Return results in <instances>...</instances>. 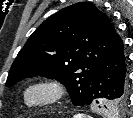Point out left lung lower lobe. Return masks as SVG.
I'll use <instances>...</instances> for the list:
<instances>
[{
    "label": "left lung lower lobe",
    "mask_w": 133,
    "mask_h": 118,
    "mask_svg": "<svg viewBox=\"0 0 133 118\" xmlns=\"http://www.w3.org/2000/svg\"><path fill=\"white\" fill-rule=\"evenodd\" d=\"M127 83V57L118 35L92 77L85 105L128 98Z\"/></svg>",
    "instance_id": "obj_1"
}]
</instances>
